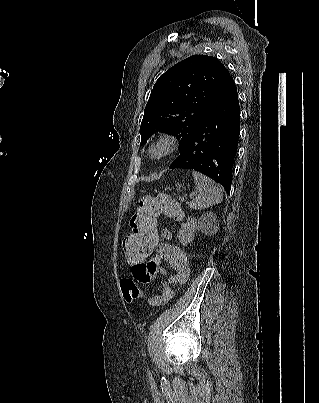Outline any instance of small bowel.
<instances>
[{
    "mask_svg": "<svg viewBox=\"0 0 319 403\" xmlns=\"http://www.w3.org/2000/svg\"><path fill=\"white\" fill-rule=\"evenodd\" d=\"M161 239L163 242H158V246L153 249L156 255L150 264L136 262L135 265L129 266V276H132V281L142 286L147 285L156 274L161 276L162 292L149 299L148 303L152 306L168 303L174 296L170 284L184 283L190 272L187 255L180 247L171 243L172 233L169 230H163ZM163 263L168 264L176 273L169 276L162 267Z\"/></svg>",
    "mask_w": 319,
    "mask_h": 403,
    "instance_id": "small-bowel-1",
    "label": "small bowel"
}]
</instances>
